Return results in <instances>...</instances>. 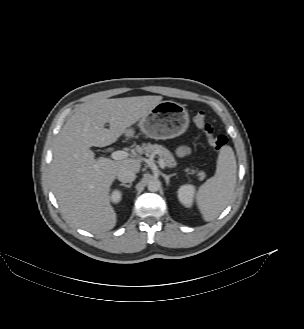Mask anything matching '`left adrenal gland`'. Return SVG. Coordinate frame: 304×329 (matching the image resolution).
Wrapping results in <instances>:
<instances>
[{
	"label": "left adrenal gland",
	"instance_id": "left-adrenal-gland-1",
	"mask_svg": "<svg viewBox=\"0 0 304 329\" xmlns=\"http://www.w3.org/2000/svg\"><path fill=\"white\" fill-rule=\"evenodd\" d=\"M176 174H170V175H166V174H162L163 178L165 179V182H166V185L168 186L169 185V181H170V178L175 176Z\"/></svg>",
	"mask_w": 304,
	"mask_h": 329
}]
</instances>
